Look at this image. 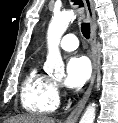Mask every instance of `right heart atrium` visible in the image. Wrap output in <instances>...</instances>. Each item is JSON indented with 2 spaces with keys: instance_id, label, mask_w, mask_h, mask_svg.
I'll list each match as a JSON object with an SVG mask.
<instances>
[{
  "instance_id": "1",
  "label": "right heart atrium",
  "mask_w": 118,
  "mask_h": 123,
  "mask_svg": "<svg viewBox=\"0 0 118 123\" xmlns=\"http://www.w3.org/2000/svg\"><path fill=\"white\" fill-rule=\"evenodd\" d=\"M55 90H56V93L58 95L59 94V89H58V86L57 85H55Z\"/></svg>"
}]
</instances>
